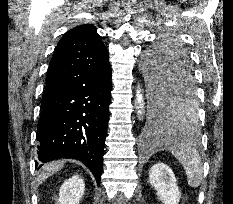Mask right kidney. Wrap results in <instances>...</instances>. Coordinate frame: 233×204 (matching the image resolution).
<instances>
[{
    "label": "right kidney",
    "mask_w": 233,
    "mask_h": 204,
    "mask_svg": "<svg viewBox=\"0 0 233 204\" xmlns=\"http://www.w3.org/2000/svg\"><path fill=\"white\" fill-rule=\"evenodd\" d=\"M85 191L83 179L78 175L64 181L59 190V204H79Z\"/></svg>",
    "instance_id": "obj_1"
}]
</instances>
